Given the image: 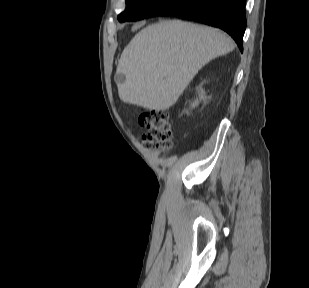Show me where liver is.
<instances>
[{
    "label": "liver",
    "mask_w": 309,
    "mask_h": 288,
    "mask_svg": "<svg viewBox=\"0 0 309 288\" xmlns=\"http://www.w3.org/2000/svg\"><path fill=\"white\" fill-rule=\"evenodd\" d=\"M233 50V40L216 28L180 20L149 25L121 54L119 97L149 110H167L203 66Z\"/></svg>",
    "instance_id": "liver-1"
}]
</instances>
